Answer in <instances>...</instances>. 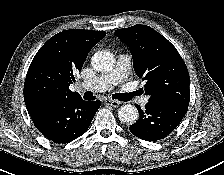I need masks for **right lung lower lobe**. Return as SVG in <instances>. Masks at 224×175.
Listing matches in <instances>:
<instances>
[{"instance_id":"1","label":"right lung lower lobe","mask_w":224,"mask_h":175,"mask_svg":"<svg viewBox=\"0 0 224 175\" xmlns=\"http://www.w3.org/2000/svg\"><path fill=\"white\" fill-rule=\"evenodd\" d=\"M101 102L81 97L43 102L27 108L35 127L49 140L67 143L89 127Z\"/></svg>"}]
</instances>
